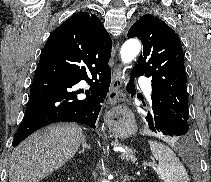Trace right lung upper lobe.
I'll list each match as a JSON object with an SVG mask.
<instances>
[{
  "instance_id": "obj_1",
  "label": "right lung upper lobe",
  "mask_w": 211,
  "mask_h": 182,
  "mask_svg": "<svg viewBox=\"0 0 211 182\" xmlns=\"http://www.w3.org/2000/svg\"><path fill=\"white\" fill-rule=\"evenodd\" d=\"M67 25L72 36L83 47L97 48L103 56H111V38L95 14L77 12L62 25ZM59 26V27H60Z\"/></svg>"
}]
</instances>
